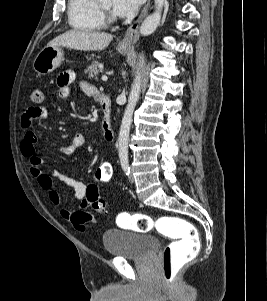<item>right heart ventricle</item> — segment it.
<instances>
[{
  "mask_svg": "<svg viewBox=\"0 0 267 301\" xmlns=\"http://www.w3.org/2000/svg\"><path fill=\"white\" fill-rule=\"evenodd\" d=\"M68 19L70 25L80 31H97L104 27L97 0H69Z\"/></svg>",
  "mask_w": 267,
  "mask_h": 301,
  "instance_id": "right-heart-ventricle-1",
  "label": "right heart ventricle"
}]
</instances>
